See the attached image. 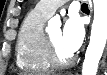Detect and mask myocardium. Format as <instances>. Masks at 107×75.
<instances>
[{"label":"myocardium","mask_w":107,"mask_h":75,"mask_svg":"<svg viewBox=\"0 0 107 75\" xmlns=\"http://www.w3.org/2000/svg\"><path fill=\"white\" fill-rule=\"evenodd\" d=\"M45 44L47 50V57L51 65L55 68H65L73 64L74 57L73 55H69L67 57H63L53 41L50 39L48 35L45 34Z\"/></svg>","instance_id":"1"}]
</instances>
